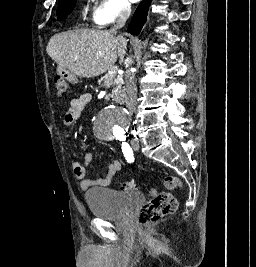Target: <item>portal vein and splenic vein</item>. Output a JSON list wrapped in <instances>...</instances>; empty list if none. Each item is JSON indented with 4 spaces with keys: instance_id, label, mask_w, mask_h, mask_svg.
<instances>
[{
    "instance_id": "1",
    "label": "portal vein and splenic vein",
    "mask_w": 256,
    "mask_h": 267,
    "mask_svg": "<svg viewBox=\"0 0 256 267\" xmlns=\"http://www.w3.org/2000/svg\"><path fill=\"white\" fill-rule=\"evenodd\" d=\"M117 71L116 68H112L108 70V74H116Z\"/></svg>"
}]
</instances>
